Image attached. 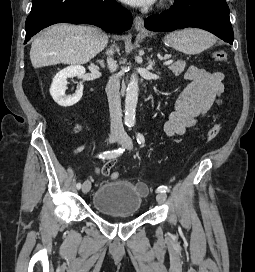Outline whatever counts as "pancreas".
<instances>
[{"label":"pancreas","mask_w":255,"mask_h":272,"mask_svg":"<svg viewBox=\"0 0 255 272\" xmlns=\"http://www.w3.org/2000/svg\"><path fill=\"white\" fill-rule=\"evenodd\" d=\"M169 69L176 75H180L185 69V62L177 61L169 66Z\"/></svg>","instance_id":"cf45deb5"}]
</instances>
